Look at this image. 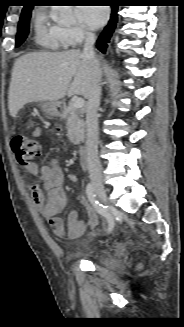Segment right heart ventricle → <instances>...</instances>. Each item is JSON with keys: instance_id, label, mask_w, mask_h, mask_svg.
I'll list each match as a JSON object with an SVG mask.
<instances>
[{"instance_id": "obj_1", "label": "right heart ventricle", "mask_w": 184, "mask_h": 327, "mask_svg": "<svg viewBox=\"0 0 184 327\" xmlns=\"http://www.w3.org/2000/svg\"><path fill=\"white\" fill-rule=\"evenodd\" d=\"M34 38L38 45L57 50L66 47L64 40V30L60 23H58L52 15L44 10H39L33 21Z\"/></svg>"}]
</instances>
